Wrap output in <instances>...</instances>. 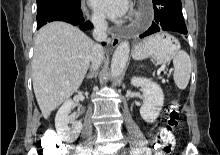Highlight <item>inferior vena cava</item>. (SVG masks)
Wrapping results in <instances>:
<instances>
[{
  "instance_id": "602c4592",
  "label": "inferior vena cava",
  "mask_w": 220,
  "mask_h": 155,
  "mask_svg": "<svg viewBox=\"0 0 220 155\" xmlns=\"http://www.w3.org/2000/svg\"><path fill=\"white\" fill-rule=\"evenodd\" d=\"M92 23L94 25L93 37L97 42L106 41L107 39V22L105 16L102 14H94L92 16ZM103 60V48L100 44H95L90 56L92 69L96 71Z\"/></svg>"
}]
</instances>
